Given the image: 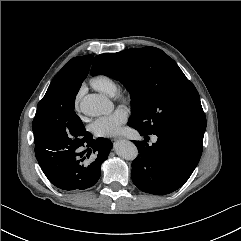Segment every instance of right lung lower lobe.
I'll return each mask as SVG.
<instances>
[{"instance_id":"right-lung-lower-lobe-1","label":"right lung lower lobe","mask_w":241,"mask_h":241,"mask_svg":"<svg viewBox=\"0 0 241 241\" xmlns=\"http://www.w3.org/2000/svg\"><path fill=\"white\" fill-rule=\"evenodd\" d=\"M34 141L42 171L53 185L67 191L84 190L96 184L101 175V164L112 148L109 139L94 140L90 133L81 145L71 149L54 150L41 144L35 136ZM90 155L91 159L83 163Z\"/></svg>"}]
</instances>
